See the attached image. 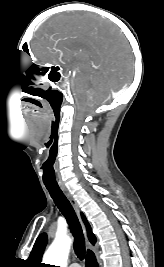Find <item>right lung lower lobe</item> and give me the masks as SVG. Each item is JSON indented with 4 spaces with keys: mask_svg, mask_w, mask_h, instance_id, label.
<instances>
[{
    "mask_svg": "<svg viewBox=\"0 0 164 267\" xmlns=\"http://www.w3.org/2000/svg\"><path fill=\"white\" fill-rule=\"evenodd\" d=\"M85 267H98L94 253L87 254Z\"/></svg>",
    "mask_w": 164,
    "mask_h": 267,
    "instance_id": "1",
    "label": "right lung lower lobe"
}]
</instances>
